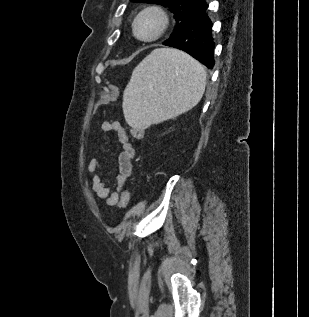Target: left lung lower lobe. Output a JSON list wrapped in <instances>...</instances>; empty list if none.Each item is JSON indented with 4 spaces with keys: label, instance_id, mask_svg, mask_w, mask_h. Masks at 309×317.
Instances as JSON below:
<instances>
[{
    "label": "left lung lower lobe",
    "instance_id": "0a47b994",
    "mask_svg": "<svg viewBox=\"0 0 309 317\" xmlns=\"http://www.w3.org/2000/svg\"><path fill=\"white\" fill-rule=\"evenodd\" d=\"M204 4L190 17L187 25L180 32L170 36L163 45L184 50L207 68L214 66L215 42L212 35V21Z\"/></svg>",
    "mask_w": 309,
    "mask_h": 317
}]
</instances>
